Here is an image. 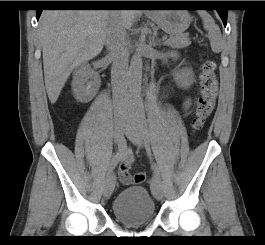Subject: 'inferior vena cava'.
<instances>
[{
  "label": "inferior vena cava",
  "instance_id": "inferior-vena-cava-1",
  "mask_svg": "<svg viewBox=\"0 0 265 245\" xmlns=\"http://www.w3.org/2000/svg\"><path fill=\"white\" fill-rule=\"evenodd\" d=\"M125 29L120 12H116L112 16L105 32V45L108 50V56L113 61L111 84L116 116L128 113L131 108L128 95L129 51L127 49Z\"/></svg>",
  "mask_w": 265,
  "mask_h": 245
}]
</instances>
